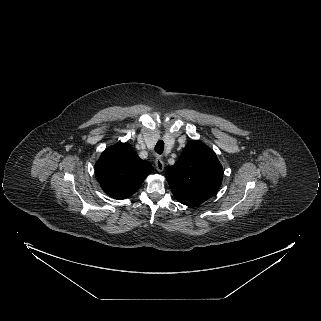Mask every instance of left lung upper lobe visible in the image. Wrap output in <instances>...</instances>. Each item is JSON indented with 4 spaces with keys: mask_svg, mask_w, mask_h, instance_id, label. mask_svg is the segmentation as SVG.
Masks as SVG:
<instances>
[{
    "mask_svg": "<svg viewBox=\"0 0 321 321\" xmlns=\"http://www.w3.org/2000/svg\"><path fill=\"white\" fill-rule=\"evenodd\" d=\"M223 178V168L214 153L200 141L192 140L179 160L166 170V179L175 198L197 206L214 196Z\"/></svg>",
    "mask_w": 321,
    "mask_h": 321,
    "instance_id": "1",
    "label": "left lung upper lobe"
}]
</instances>
